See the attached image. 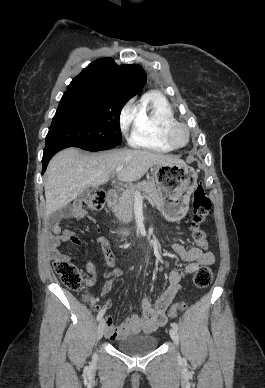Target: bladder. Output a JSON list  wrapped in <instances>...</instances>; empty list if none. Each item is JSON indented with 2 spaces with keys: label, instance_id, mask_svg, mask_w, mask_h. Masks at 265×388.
<instances>
[{
  "label": "bladder",
  "instance_id": "obj_1",
  "mask_svg": "<svg viewBox=\"0 0 265 388\" xmlns=\"http://www.w3.org/2000/svg\"><path fill=\"white\" fill-rule=\"evenodd\" d=\"M159 340L149 334L128 336L120 340L117 344L118 349L129 355H139L155 350Z\"/></svg>",
  "mask_w": 265,
  "mask_h": 388
}]
</instances>
